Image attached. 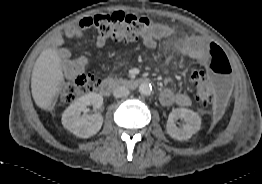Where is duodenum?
<instances>
[{
  "instance_id": "obj_1",
  "label": "duodenum",
  "mask_w": 262,
  "mask_h": 184,
  "mask_svg": "<svg viewBox=\"0 0 262 184\" xmlns=\"http://www.w3.org/2000/svg\"><path fill=\"white\" fill-rule=\"evenodd\" d=\"M150 80L147 78H134V79H104L99 85V92L103 96H109L112 91L118 86H125L127 88H137L142 85L149 84Z\"/></svg>"
}]
</instances>
